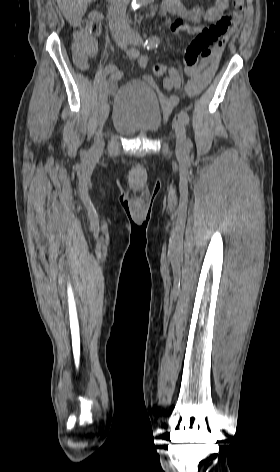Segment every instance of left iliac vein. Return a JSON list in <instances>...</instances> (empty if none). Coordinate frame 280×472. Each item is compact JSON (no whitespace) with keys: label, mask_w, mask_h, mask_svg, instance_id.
Returning <instances> with one entry per match:
<instances>
[{"label":"left iliac vein","mask_w":280,"mask_h":472,"mask_svg":"<svg viewBox=\"0 0 280 472\" xmlns=\"http://www.w3.org/2000/svg\"><path fill=\"white\" fill-rule=\"evenodd\" d=\"M129 43L133 45H141L143 43L142 38L136 32H131L128 36ZM174 128L176 134V149L180 153H185L188 149V139L184 123L178 119L174 121Z\"/></svg>","instance_id":"1"}]
</instances>
